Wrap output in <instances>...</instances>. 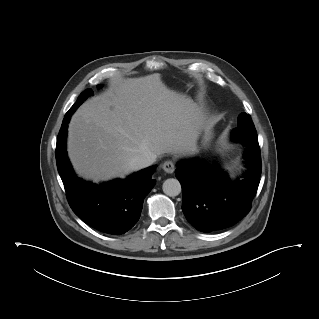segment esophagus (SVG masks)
<instances>
[{
	"mask_svg": "<svg viewBox=\"0 0 319 319\" xmlns=\"http://www.w3.org/2000/svg\"><path fill=\"white\" fill-rule=\"evenodd\" d=\"M162 168L166 173L171 174L175 170V163L171 160H167L163 163Z\"/></svg>",
	"mask_w": 319,
	"mask_h": 319,
	"instance_id": "1",
	"label": "esophagus"
}]
</instances>
